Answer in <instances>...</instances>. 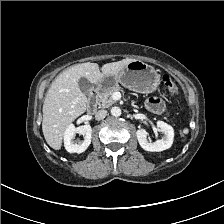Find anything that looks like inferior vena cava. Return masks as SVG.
I'll list each match as a JSON object with an SVG mask.
<instances>
[{
  "mask_svg": "<svg viewBox=\"0 0 224 224\" xmlns=\"http://www.w3.org/2000/svg\"><path fill=\"white\" fill-rule=\"evenodd\" d=\"M106 116H107V110L101 109L96 112L95 119L101 120L104 119Z\"/></svg>",
  "mask_w": 224,
  "mask_h": 224,
  "instance_id": "1",
  "label": "inferior vena cava"
}]
</instances>
